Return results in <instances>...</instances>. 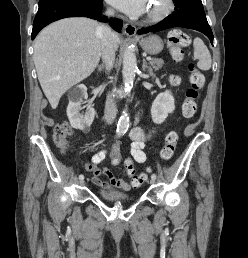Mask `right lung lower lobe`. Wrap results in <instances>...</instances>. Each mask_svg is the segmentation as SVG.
Returning <instances> with one entry per match:
<instances>
[{
    "mask_svg": "<svg viewBox=\"0 0 248 258\" xmlns=\"http://www.w3.org/2000/svg\"><path fill=\"white\" fill-rule=\"evenodd\" d=\"M102 0H40L39 9L33 22L32 39L46 25L66 17H89L101 22H107L101 16ZM110 25L118 32L121 31L122 21L111 19Z\"/></svg>",
    "mask_w": 248,
    "mask_h": 258,
    "instance_id": "right-lung-lower-lobe-1",
    "label": "right lung lower lobe"
}]
</instances>
